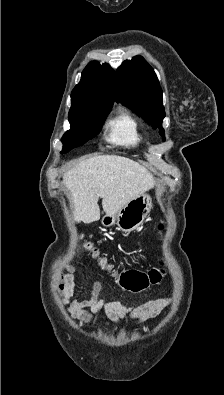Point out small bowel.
Listing matches in <instances>:
<instances>
[{
    "label": "small bowel",
    "instance_id": "obj_1",
    "mask_svg": "<svg viewBox=\"0 0 224 395\" xmlns=\"http://www.w3.org/2000/svg\"><path fill=\"white\" fill-rule=\"evenodd\" d=\"M74 267L66 266V273L61 277L59 289L63 294V303H69V297L73 294L72 288ZM102 284L96 282L93 286L91 297L85 301H73L68 311L82 324H89L97 317L102 324L119 323L129 319L135 323H142L148 318L154 317L168 304V298L150 300L138 305L128 306L122 302L107 303L101 296ZM86 308H90L91 312Z\"/></svg>",
    "mask_w": 224,
    "mask_h": 395
}]
</instances>
